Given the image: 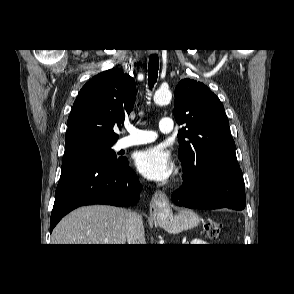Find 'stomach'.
<instances>
[{
    "label": "stomach",
    "mask_w": 294,
    "mask_h": 294,
    "mask_svg": "<svg viewBox=\"0 0 294 294\" xmlns=\"http://www.w3.org/2000/svg\"><path fill=\"white\" fill-rule=\"evenodd\" d=\"M159 224L170 233H178L193 228L200 222L199 216L189 209H182L174 214L170 209L161 211L158 216Z\"/></svg>",
    "instance_id": "0dacf381"
}]
</instances>
